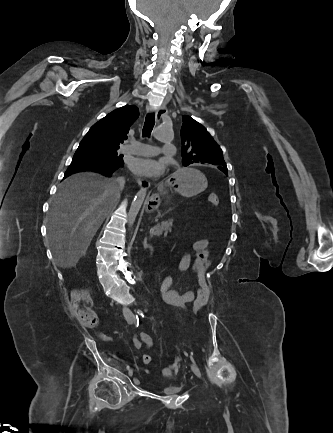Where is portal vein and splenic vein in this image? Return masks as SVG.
<instances>
[{
    "label": "portal vein and splenic vein",
    "mask_w": 333,
    "mask_h": 433,
    "mask_svg": "<svg viewBox=\"0 0 333 433\" xmlns=\"http://www.w3.org/2000/svg\"><path fill=\"white\" fill-rule=\"evenodd\" d=\"M158 234H159V232L156 231L154 228L151 229V235H152V236H156V235H158Z\"/></svg>",
    "instance_id": "18ae733b"
}]
</instances>
